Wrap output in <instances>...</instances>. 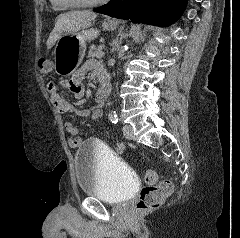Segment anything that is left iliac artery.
<instances>
[{
    "instance_id": "44dca946",
    "label": "left iliac artery",
    "mask_w": 240,
    "mask_h": 238,
    "mask_svg": "<svg viewBox=\"0 0 240 238\" xmlns=\"http://www.w3.org/2000/svg\"><path fill=\"white\" fill-rule=\"evenodd\" d=\"M109 118H110L112 123H114V124L118 123V116L116 114H111L109 116Z\"/></svg>"
}]
</instances>
